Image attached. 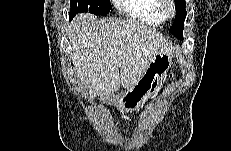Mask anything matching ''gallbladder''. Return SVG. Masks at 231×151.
<instances>
[{"label": "gallbladder", "mask_w": 231, "mask_h": 151, "mask_svg": "<svg viewBox=\"0 0 231 151\" xmlns=\"http://www.w3.org/2000/svg\"><path fill=\"white\" fill-rule=\"evenodd\" d=\"M95 95H96V94H95V91H94L93 89H91V90H89V91L87 92V96H88L90 99H92Z\"/></svg>", "instance_id": "gallbladder-1"}]
</instances>
